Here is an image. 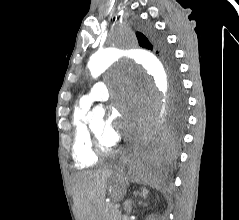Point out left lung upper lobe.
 I'll use <instances>...</instances> for the list:
<instances>
[{
  "mask_svg": "<svg viewBox=\"0 0 239 220\" xmlns=\"http://www.w3.org/2000/svg\"><path fill=\"white\" fill-rule=\"evenodd\" d=\"M136 36L141 47L156 49V53L163 58L168 66L174 88V115L172 124L176 128H179L184 122L185 99L179 82L177 68L171 53L166 48L163 38L150 28H147L145 33L137 32Z\"/></svg>",
  "mask_w": 239,
  "mask_h": 220,
  "instance_id": "obj_1",
  "label": "left lung upper lobe"
}]
</instances>
